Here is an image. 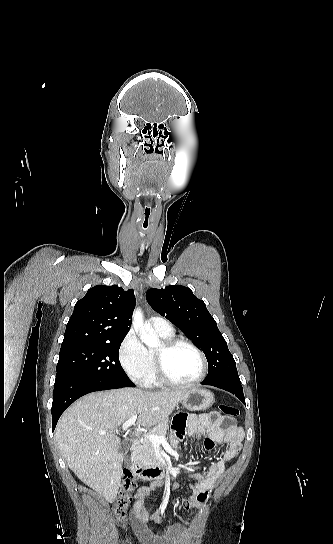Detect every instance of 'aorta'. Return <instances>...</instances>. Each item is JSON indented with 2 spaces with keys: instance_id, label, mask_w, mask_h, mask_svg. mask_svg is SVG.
<instances>
[{
  "instance_id": "1",
  "label": "aorta",
  "mask_w": 333,
  "mask_h": 544,
  "mask_svg": "<svg viewBox=\"0 0 333 544\" xmlns=\"http://www.w3.org/2000/svg\"><path fill=\"white\" fill-rule=\"evenodd\" d=\"M133 326L138 333L141 341L151 348H157L160 346L159 337L153 330H147L143 324V314L140 309H135L133 313Z\"/></svg>"
}]
</instances>
